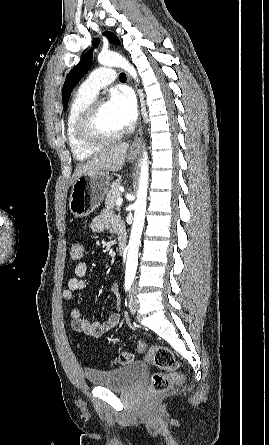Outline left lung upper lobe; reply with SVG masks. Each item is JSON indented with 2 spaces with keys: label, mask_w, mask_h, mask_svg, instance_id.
<instances>
[{
  "label": "left lung upper lobe",
  "mask_w": 269,
  "mask_h": 445,
  "mask_svg": "<svg viewBox=\"0 0 269 445\" xmlns=\"http://www.w3.org/2000/svg\"><path fill=\"white\" fill-rule=\"evenodd\" d=\"M108 40L111 43L119 44L120 41L115 34L112 32H104ZM99 44V39L93 40V47H97ZM92 51L88 50L84 56L81 58L80 62L68 73L64 85H63V103H64V111L67 109L68 100L70 98L71 92L76 86V84L81 80L82 77L88 72L91 62H92Z\"/></svg>",
  "instance_id": "left-lung-upper-lobe-1"
}]
</instances>
